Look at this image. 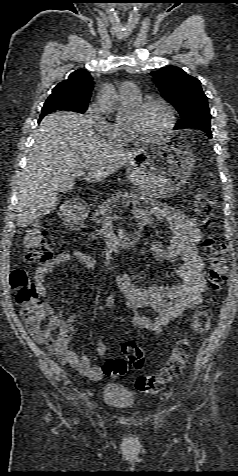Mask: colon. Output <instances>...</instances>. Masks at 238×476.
I'll use <instances>...</instances> for the list:
<instances>
[{"mask_svg": "<svg viewBox=\"0 0 238 476\" xmlns=\"http://www.w3.org/2000/svg\"><path fill=\"white\" fill-rule=\"evenodd\" d=\"M196 218L204 225H211L218 218L219 210L214 200L206 195L199 194L195 198ZM48 230L43 227L32 229L26 236L23 258L28 262H46L52 257L47 241ZM208 262V280L213 290L221 288L225 281L229 261L227 245L217 236L209 234L203 241ZM10 283L14 292V300L19 307L21 316L26 321L31 335L43 342L51 351L56 352L67 345L71 331L67 328L51 329L44 323L48 315L47 306L44 305L37 293L35 283L28 273L17 268L10 275ZM211 323V310L199 307L192 319L191 327L195 333L207 332ZM191 342L187 338L180 339L173 348L165 367L157 374H146L136 380L139 391L155 394L163 385L179 375L190 355ZM123 358H108L103 364V372L110 377H123L127 371V362L136 369H141L145 363V352L135 342H126L123 345Z\"/></svg>", "mask_w": 238, "mask_h": 476, "instance_id": "5ec220e1", "label": "colon"}]
</instances>
